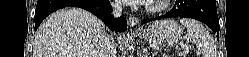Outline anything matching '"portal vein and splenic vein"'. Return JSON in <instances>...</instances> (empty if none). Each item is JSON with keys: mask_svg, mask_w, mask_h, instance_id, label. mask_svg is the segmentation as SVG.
<instances>
[{"mask_svg": "<svg viewBox=\"0 0 249 57\" xmlns=\"http://www.w3.org/2000/svg\"><path fill=\"white\" fill-rule=\"evenodd\" d=\"M184 46H185L184 44L181 45V47H183V49H184ZM186 53H187V51H184L183 53H180L179 56H182V55H184Z\"/></svg>", "mask_w": 249, "mask_h": 57, "instance_id": "obj_1", "label": "portal vein and splenic vein"}]
</instances>
